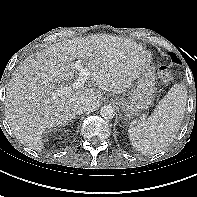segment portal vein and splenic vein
Masks as SVG:
<instances>
[{
	"mask_svg": "<svg viewBox=\"0 0 197 197\" xmlns=\"http://www.w3.org/2000/svg\"><path fill=\"white\" fill-rule=\"evenodd\" d=\"M73 67L79 71L78 79L72 84V86L58 87L52 94L54 99L61 95L70 94L73 92V90L84 86L88 76L90 75V72L82 66L81 60H77L75 63H73Z\"/></svg>",
	"mask_w": 197,
	"mask_h": 197,
	"instance_id": "18ae733b",
	"label": "portal vein and splenic vein"
}]
</instances>
